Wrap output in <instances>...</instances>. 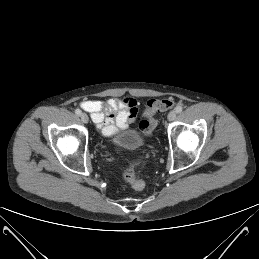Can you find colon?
Masks as SVG:
<instances>
[{"label": "colon", "mask_w": 259, "mask_h": 259, "mask_svg": "<svg viewBox=\"0 0 259 259\" xmlns=\"http://www.w3.org/2000/svg\"><path fill=\"white\" fill-rule=\"evenodd\" d=\"M174 105L175 101L170 97L149 100L143 113V119L139 124L140 131L146 136H151L157 125L155 114L169 110ZM122 178L134 190H142L145 187V181L137 175L131 166H127L122 170Z\"/></svg>", "instance_id": "obj_1"}]
</instances>
